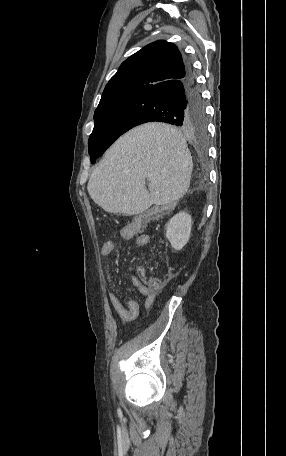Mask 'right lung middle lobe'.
<instances>
[{"mask_svg": "<svg viewBox=\"0 0 286 456\" xmlns=\"http://www.w3.org/2000/svg\"><path fill=\"white\" fill-rule=\"evenodd\" d=\"M94 120L95 126L88 140L92 163H95L96 158L101 156L118 137L139 125V106L133 96L119 98L96 109ZM192 132L205 135V120Z\"/></svg>", "mask_w": 286, "mask_h": 456, "instance_id": "obj_1", "label": "right lung middle lobe"}]
</instances>
